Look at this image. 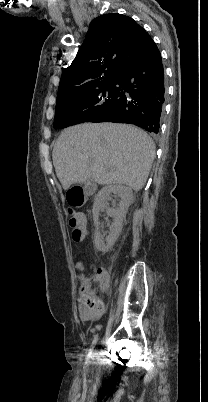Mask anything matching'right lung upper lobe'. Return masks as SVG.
I'll use <instances>...</instances> for the list:
<instances>
[{
  "label": "right lung upper lobe",
  "instance_id": "cb5924a9",
  "mask_svg": "<svg viewBox=\"0 0 208 402\" xmlns=\"http://www.w3.org/2000/svg\"><path fill=\"white\" fill-rule=\"evenodd\" d=\"M146 30L122 14L95 18L71 65L64 69L58 94L97 80H115Z\"/></svg>",
  "mask_w": 208,
  "mask_h": 402
}]
</instances>
